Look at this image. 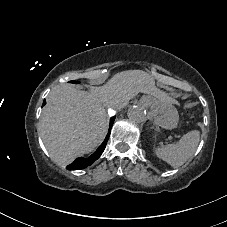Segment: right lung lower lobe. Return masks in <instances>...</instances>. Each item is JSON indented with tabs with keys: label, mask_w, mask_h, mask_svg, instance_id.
<instances>
[{
	"label": "right lung lower lobe",
	"mask_w": 227,
	"mask_h": 227,
	"mask_svg": "<svg viewBox=\"0 0 227 227\" xmlns=\"http://www.w3.org/2000/svg\"><path fill=\"white\" fill-rule=\"evenodd\" d=\"M44 104H45V102H44ZM113 122H114V119L111 118L109 132H108L105 140L97 148V150L91 156H89L88 158H84V157L77 158L72 164H70L69 166H67V169L68 170H80V169H84L87 166L93 164L101 156V154L103 153V151H104V149L106 147L108 138L110 136L111 127L113 125Z\"/></svg>",
	"instance_id": "1"
}]
</instances>
